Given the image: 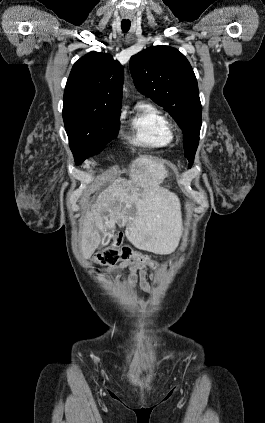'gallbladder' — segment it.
Segmentation results:
<instances>
[{
    "instance_id": "gallbladder-1",
    "label": "gallbladder",
    "mask_w": 265,
    "mask_h": 423,
    "mask_svg": "<svg viewBox=\"0 0 265 423\" xmlns=\"http://www.w3.org/2000/svg\"><path fill=\"white\" fill-rule=\"evenodd\" d=\"M111 238H112V234H111V233H107V234H106V236H105V237H104V239H103V243H102V245H103V246L108 245V244H109V242H110V240H111Z\"/></svg>"
}]
</instances>
